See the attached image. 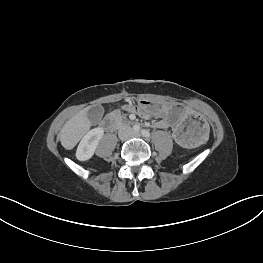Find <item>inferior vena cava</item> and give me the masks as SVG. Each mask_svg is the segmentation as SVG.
<instances>
[{"label":"inferior vena cava","mask_w":263,"mask_h":263,"mask_svg":"<svg viewBox=\"0 0 263 263\" xmlns=\"http://www.w3.org/2000/svg\"><path fill=\"white\" fill-rule=\"evenodd\" d=\"M119 137L123 140H126L130 137H132L133 135V131L130 127L128 126H123L119 129Z\"/></svg>","instance_id":"1"}]
</instances>
